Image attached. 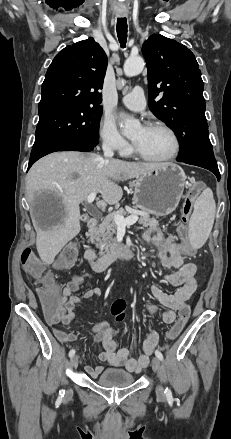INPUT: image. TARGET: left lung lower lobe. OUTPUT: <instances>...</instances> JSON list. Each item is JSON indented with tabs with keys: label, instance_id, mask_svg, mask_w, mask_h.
I'll return each mask as SVG.
<instances>
[{
	"label": "left lung lower lobe",
	"instance_id": "0a47b994",
	"mask_svg": "<svg viewBox=\"0 0 231 439\" xmlns=\"http://www.w3.org/2000/svg\"><path fill=\"white\" fill-rule=\"evenodd\" d=\"M177 161L208 169L216 175L218 180H220V173L216 162H211L209 160H205L199 157H188L186 159L177 158Z\"/></svg>",
	"mask_w": 231,
	"mask_h": 439
}]
</instances>
